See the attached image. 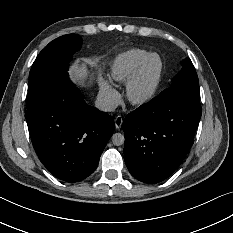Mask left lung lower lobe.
<instances>
[{
  "label": "left lung lower lobe",
  "mask_w": 233,
  "mask_h": 233,
  "mask_svg": "<svg viewBox=\"0 0 233 233\" xmlns=\"http://www.w3.org/2000/svg\"><path fill=\"white\" fill-rule=\"evenodd\" d=\"M202 114L196 101L153 98L123 120L124 158L133 177L155 184L181 164Z\"/></svg>",
  "instance_id": "0a47b994"
}]
</instances>
